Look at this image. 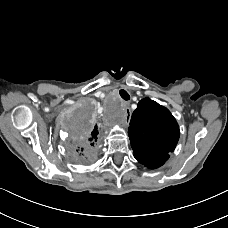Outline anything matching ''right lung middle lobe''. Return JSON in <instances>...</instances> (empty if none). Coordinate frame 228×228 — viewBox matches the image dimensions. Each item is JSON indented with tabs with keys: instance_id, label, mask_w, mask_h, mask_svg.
I'll use <instances>...</instances> for the list:
<instances>
[{
	"instance_id": "obj_1",
	"label": "right lung middle lobe",
	"mask_w": 228,
	"mask_h": 228,
	"mask_svg": "<svg viewBox=\"0 0 228 228\" xmlns=\"http://www.w3.org/2000/svg\"><path fill=\"white\" fill-rule=\"evenodd\" d=\"M79 121H80V127H77L71 132L75 142L81 145L88 142L87 135L94 124V119L92 118V115L81 114L79 115ZM95 131H96V128L92 133H94Z\"/></svg>"
}]
</instances>
